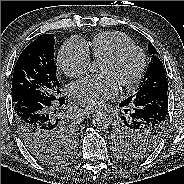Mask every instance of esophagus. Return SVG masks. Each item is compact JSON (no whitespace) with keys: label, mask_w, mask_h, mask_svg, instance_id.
I'll list each match as a JSON object with an SVG mask.
<instances>
[{"label":"esophagus","mask_w":184,"mask_h":184,"mask_svg":"<svg viewBox=\"0 0 184 184\" xmlns=\"http://www.w3.org/2000/svg\"><path fill=\"white\" fill-rule=\"evenodd\" d=\"M99 110H95V111H90V110H85V113H87V114H90V113H93V112H98Z\"/></svg>","instance_id":"obj_1"}]
</instances>
